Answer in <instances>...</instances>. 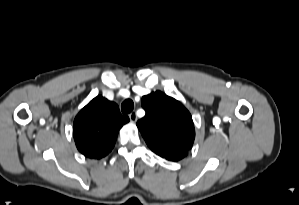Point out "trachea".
<instances>
[{
  "label": "trachea",
  "instance_id": "trachea-1",
  "mask_svg": "<svg viewBox=\"0 0 299 205\" xmlns=\"http://www.w3.org/2000/svg\"><path fill=\"white\" fill-rule=\"evenodd\" d=\"M133 109L134 103L131 99H126L121 105V110L123 113H130Z\"/></svg>",
  "mask_w": 299,
  "mask_h": 205
}]
</instances>
